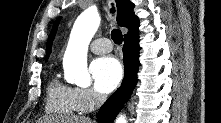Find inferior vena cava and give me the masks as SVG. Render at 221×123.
<instances>
[{"label":"inferior vena cava","instance_id":"602c4592","mask_svg":"<svg viewBox=\"0 0 221 123\" xmlns=\"http://www.w3.org/2000/svg\"><path fill=\"white\" fill-rule=\"evenodd\" d=\"M106 100V95L97 94L95 97L96 107L99 108Z\"/></svg>","mask_w":221,"mask_h":123}]
</instances>
